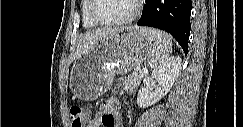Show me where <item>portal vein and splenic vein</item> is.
<instances>
[{
  "label": "portal vein and splenic vein",
  "mask_w": 243,
  "mask_h": 127,
  "mask_svg": "<svg viewBox=\"0 0 243 127\" xmlns=\"http://www.w3.org/2000/svg\"><path fill=\"white\" fill-rule=\"evenodd\" d=\"M141 72H142L143 74H145V73H147V70H142Z\"/></svg>",
  "instance_id": "18ae733b"
}]
</instances>
